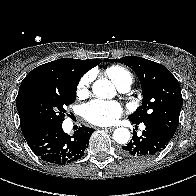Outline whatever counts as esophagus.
Returning a JSON list of instances; mask_svg holds the SVG:
<instances>
[{
	"instance_id": "obj_1",
	"label": "esophagus",
	"mask_w": 196,
	"mask_h": 196,
	"mask_svg": "<svg viewBox=\"0 0 196 196\" xmlns=\"http://www.w3.org/2000/svg\"><path fill=\"white\" fill-rule=\"evenodd\" d=\"M104 130H106V131H113L114 130V127L104 128Z\"/></svg>"
}]
</instances>
